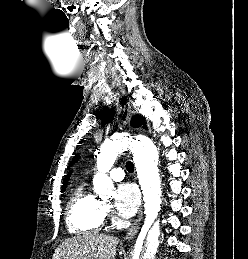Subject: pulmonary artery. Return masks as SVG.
Returning a JSON list of instances; mask_svg holds the SVG:
<instances>
[{"label": "pulmonary artery", "mask_w": 248, "mask_h": 259, "mask_svg": "<svg viewBox=\"0 0 248 259\" xmlns=\"http://www.w3.org/2000/svg\"><path fill=\"white\" fill-rule=\"evenodd\" d=\"M109 175L113 180L120 181L124 178V171L121 168H113Z\"/></svg>", "instance_id": "1"}]
</instances>
